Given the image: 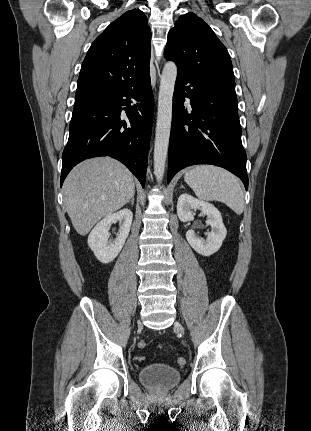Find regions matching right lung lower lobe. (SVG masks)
<instances>
[{
  "mask_svg": "<svg viewBox=\"0 0 311 431\" xmlns=\"http://www.w3.org/2000/svg\"><path fill=\"white\" fill-rule=\"evenodd\" d=\"M153 111L149 72L116 90L77 97L62 154L60 185L84 159L111 156L125 164L144 187Z\"/></svg>",
  "mask_w": 311,
  "mask_h": 431,
  "instance_id": "98d812e1",
  "label": "right lung lower lobe"
}]
</instances>
